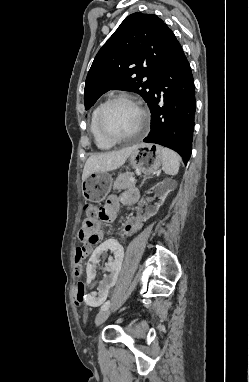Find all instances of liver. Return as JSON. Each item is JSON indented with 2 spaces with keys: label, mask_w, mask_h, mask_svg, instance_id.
Returning <instances> with one entry per match:
<instances>
[{
  "label": "liver",
  "mask_w": 249,
  "mask_h": 382,
  "mask_svg": "<svg viewBox=\"0 0 249 382\" xmlns=\"http://www.w3.org/2000/svg\"><path fill=\"white\" fill-rule=\"evenodd\" d=\"M133 147H127L118 151L100 153L90 156L84 166L82 180L84 181L91 173L107 172L121 167L131 155Z\"/></svg>",
  "instance_id": "6515ba94"
}]
</instances>
